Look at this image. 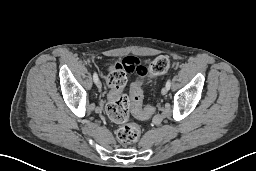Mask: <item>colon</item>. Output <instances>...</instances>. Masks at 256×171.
<instances>
[{"instance_id":"1","label":"colon","mask_w":256,"mask_h":171,"mask_svg":"<svg viewBox=\"0 0 256 171\" xmlns=\"http://www.w3.org/2000/svg\"><path fill=\"white\" fill-rule=\"evenodd\" d=\"M170 67V60L167 56H159L150 64V73L160 75ZM127 74L122 69H115L108 75V85L111 90L108 95L106 113L109 119L120 124L116 131V137L122 144H132L138 141L141 129L138 124L130 121L131 113L137 117L148 116L152 108H143L142 89L140 83H134L130 88V97L123 94L122 90L126 84Z\"/></svg>"}]
</instances>
